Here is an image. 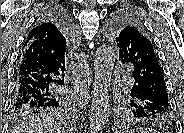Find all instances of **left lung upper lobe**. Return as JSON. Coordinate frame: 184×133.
<instances>
[{
	"mask_svg": "<svg viewBox=\"0 0 184 133\" xmlns=\"http://www.w3.org/2000/svg\"><path fill=\"white\" fill-rule=\"evenodd\" d=\"M107 32L117 43L119 60L122 63H132L134 65L137 58H139V60L144 59L147 65L152 64L162 71L153 42L136 16L130 13L118 14L109 22ZM131 93V90L125 93V99L121 103V107L126 113L133 116Z\"/></svg>",
	"mask_w": 184,
	"mask_h": 133,
	"instance_id": "1",
	"label": "left lung upper lobe"
}]
</instances>
